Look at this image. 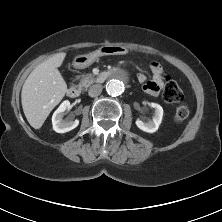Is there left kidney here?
<instances>
[{
  "label": "left kidney",
  "instance_id": "left-kidney-1",
  "mask_svg": "<svg viewBox=\"0 0 222 222\" xmlns=\"http://www.w3.org/2000/svg\"><path fill=\"white\" fill-rule=\"evenodd\" d=\"M150 106L155 109L152 120L148 122H143L137 119L136 125L144 132L153 133L158 130V127L162 121L163 108L157 103H151Z\"/></svg>",
  "mask_w": 222,
  "mask_h": 222
}]
</instances>
